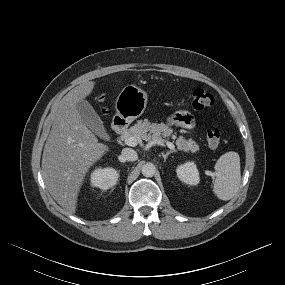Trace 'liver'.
Instances as JSON below:
<instances>
[{
  "label": "liver",
  "mask_w": 285,
  "mask_h": 285,
  "mask_svg": "<svg viewBox=\"0 0 285 285\" xmlns=\"http://www.w3.org/2000/svg\"><path fill=\"white\" fill-rule=\"evenodd\" d=\"M94 86V81H85L61 99L43 150L46 187L67 214L76 212L78 194L89 169L109 151V146L99 143L84 124L76 106Z\"/></svg>",
  "instance_id": "liver-1"
}]
</instances>
